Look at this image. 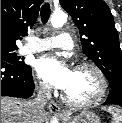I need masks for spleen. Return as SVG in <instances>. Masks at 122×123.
Returning <instances> with one entry per match:
<instances>
[{
    "label": "spleen",
    "instance_id": "obj_1",
    "mask_svg": "<svg viewBox=\"0 0 122 123\" xmlns=\"http://www.w3.org/2000/svg\"><path fill=\"white\" fill-rule=\"evenodd\" d=\"M107 111L112 115V123H122V111L120 109L109 106Z\"/></svg>",
    "mask_w": 122,
    "mask_h": 123
}]
</instances>
